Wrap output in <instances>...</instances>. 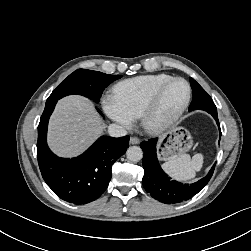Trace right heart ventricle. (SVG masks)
<instances>
[{
    "mask_svg": "<svg viewBox=\"0 0 251 251\" xmlns=\"http://www.w3.org/2000/svg\"><path fill=\"white\" fill-rule=\"evenodd\" d=\"M171 78L167 74H152L127 79L115 86L114 96L120 106L135 119L140 117L154 91Z\"/></svg>",
    "mask_w": 251,
    "mask_h": 251,
    "instance_id": "e07e8e85",
    "label": "right heart ventricle"
}]
</instances>
